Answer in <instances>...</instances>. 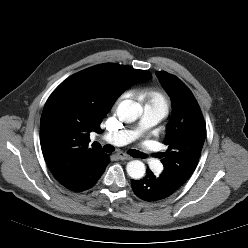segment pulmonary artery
Listing matches in <instances>:
<instances>
[{"label":"pulmonary artery","mask_w":248,"mask_h":248,"mask_svg":"<svg viewBox=\"0 0 248 248\" xmlns=\"http://www.w3.org/2000/svg\"><path fill=\"white\" fill-rule=\"evenodd\" d=\"M166 114L167 111L161 107L145 106L141 121L137 128L132 130L124 129L106 133L102 136V138L106 142L116 146L128 144L137 139L141 133L160 122L166 116ZM143 154L149 166L152 169H156L159 163L157 157L148 151H145Z\"/></svg>","instance_id":"obj_1"}]
</instances>
